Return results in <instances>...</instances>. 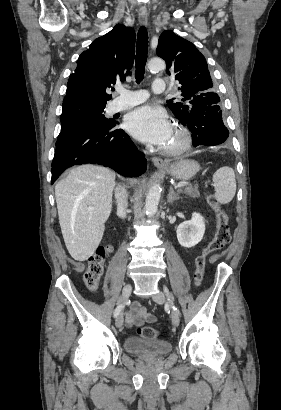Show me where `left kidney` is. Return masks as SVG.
<instances>
[{
    "label": "left kidney",
    "mask_w": 281,
    "mask_h": 410,
    "mask_svg": "<svg viewBox=\"0 0 281 410\" xmlns=\"http://www.w3.org/2000/svg\"><path fill=\"white\" fill-rule=\"evenodd\" d=\"M177 239L181 246L191 248L197 245L205 233V222L202 215L194 212L189 221L181 223L177 228Z\"/></svg>",
    "instance_id": "left-kidney-1"
}]
</instances>
